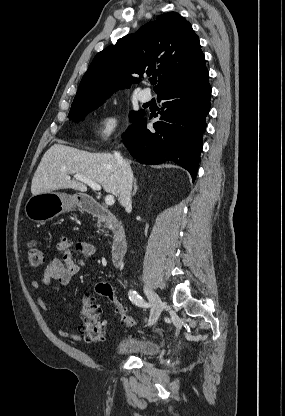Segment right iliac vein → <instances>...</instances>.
Returning a JSON list of instances; mask_svg holds the SVG:
<instances>
[{
    "instance_id": "obj_1",
    "label": "right iliac vein",
    "mask_w": 285,
    "mask_h": 416,
    "mask_svg": "<svg viewBox=\"0 0 285 416\" xmlns=\"http://www.w3.org/2000/svg\"><path fill=\"white\" fill-rule=\"evenodd\" d=\"M143 288H144V292L146 296L148 297L150 303L153 306L152 313H151L150 320H149V325L152 326L157 322L161 314V311L163 309L164 303L162 299L159 297V295L155 291H153L151 287H149L147 284H144Z\"/></svg>"
}]
</instances>
